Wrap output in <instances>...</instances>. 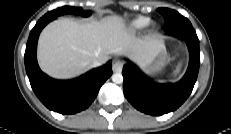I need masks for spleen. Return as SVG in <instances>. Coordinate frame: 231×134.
<instances>
[{
    "mask_svg": "<svg viewBox=\"0 0 231 134\" xmlns=\"http://www.w3.org/2000/svg\"><path fill=\"white\" fill-rule=\"evenodd\" d=\"M180 67H181V64L178 65V67L176 68L174 74L177 75L180 71Z\"/></svg>",
    "mask_w": 231,
    "mask_h": 134,
    "instance_id": "spleen-1",
    "label": "spleen"
}]
</instances>
